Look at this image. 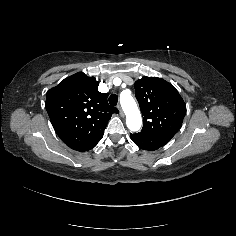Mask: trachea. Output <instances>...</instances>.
<instances>
[{"mask_svg": "<svg viewBox=\"0 0 236 236\" xmlns=\"http://www.w3.org/2000/svg\"><path fill=\"white\" fill-rule=\"evenodd\" d=\"M117 102H118V97H117V95L112 94V95L109 97V104H110L111 106H116V105H117Z\"/></svg>", "mask_w": 236, "mask_h": 236, "instance_id": "obj_1", "label": "trachea"}]
</instances>
